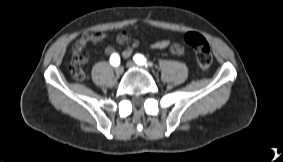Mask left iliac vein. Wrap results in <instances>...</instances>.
Segmentation results:
<instances>
[{
    "label": "left iliac vein",
    "mask_w": 283,
    "mask_h": 162,
    "mask_svg": "<svg viewBox=\"0 0 283 162\" xmlns=\"http://www.w3.org/2000/svg\"><path fill=\"white\" fill-rule=\"evenodd\" d=\"M126 64L128 67H138V65L133 61H128Z\"/></svg>",
    "instance_id": "1"
}]
</instances>
